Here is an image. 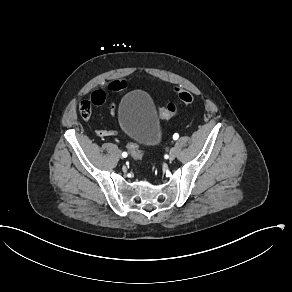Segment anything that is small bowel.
<instances>
[{
    "mask_svg": "<svg viewBox=\"0 0 292 292\" xmlns=\"http://www.w3.org/2000/svg\"><path fill=\"white\" fill-rule=\"evenodd\" d=\"M113 82H115V84L111 82L105 87V90L108 93H111V92H114V91L123 90L127 86L126 81L121 80V79L120 80H115ZM110 97H113V94H110ZM110 104H113V99H110ZM109 109H112V106H109ZM117 110H118V106L114 105L113 109H112V115L113 116L117 115ZM107 115H110V112H107ZM104 135H108L109 137H113V136L117 137L119 135V132H118L117 129H114L113 131L112 130H109V131L105 130V131H101V132L98 133L99 137H102Z\"/></svg>",
    "mask_w": 292,
    "mask_h": 292,
    "instance_id": "small-bowel-1",
    "label": "small bowel"
}]
</instances>
